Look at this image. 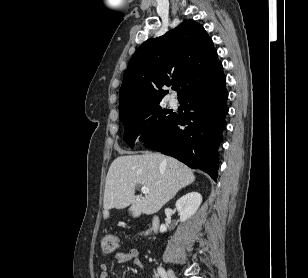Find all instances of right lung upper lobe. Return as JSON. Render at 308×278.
I'll list each match as a JSON object with an SVG mask.
<instances>
[{"mask_svg": "<svg viewBox=\"0 0 308 278\" xmlns=\"http://www.w3.org/2000/svg\"><path fill=\"white\" fill-rule=\"evenodd\" d=\"M223 74L217 51L204 28L186 20L165 35L145 41L132 56L120 88V119L160 103L164 86L178 83L179 100Z\"/></svg>", "mask_w": 308, "mask_h": 278, "instance_id": "obj_1", "label": "right lung upper lobe"}]
</instances>
